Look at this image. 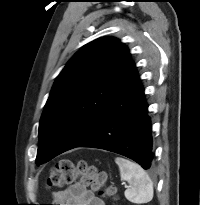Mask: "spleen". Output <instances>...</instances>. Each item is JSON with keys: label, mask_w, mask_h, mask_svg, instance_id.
Instances as JSON below:
<instances>
[{"label": "spleen", "mask_w": 200, "mask_h": 205, "mask_svg": "<svg viewBox=\"0 0 200 205\" xmlns=\"http://www.w3.org/2000/svg\"><path fill=\"white\" fill-rule=\"evenodd\" d=\"M115 163L119 166L121 179L129 183L124 192L125 197L135 204L150 202L153 198V183L143 168L122 157H116Z\"/></svg>", "instance_id": "3e777b00"}]
</instances>
